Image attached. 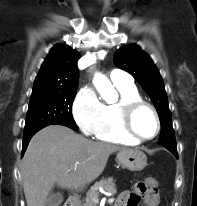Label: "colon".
I'll use <instances>...</instances> for the list:
<instances>
[{
    "mask_svg": "<svg viewBox=\"0 0 197 206\" xmlns=\"http://www.w3.org/2000/svg\"><path fill=\"white\" fill-rule=\"evenodd\" d=\"M156 187L157 181L153 178H149L143 182L137 183V185L135 186V191L132 193L130 198L131 206H135L142 194L148 192L151 189H155Z\"/></svg>",
    "mask_w": 197,
    "mask_h": 206,
    "instance_id": "5ec220e1",
    "label": "colon"
}]
</instances>
